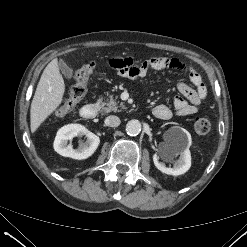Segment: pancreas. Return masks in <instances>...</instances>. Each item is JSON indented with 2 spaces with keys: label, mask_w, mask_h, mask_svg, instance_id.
<instances>
[{
  "label": "pancreas",
  "mask_w": 247,
  "mask_h": 247,
  "mask_svg": "<svg viewBox=\"0 0 247 247\" xmlns=\"http://www.w3.org/2000/svg\"><path fill=\"white\" fill-rule=\"evenodd\" d=\"M117 96L114 98L112 95L109 96V98L106 100V102L102 103L101 108L104 113H109V112H120L122 110H125L126 107L121 102L119 104V101H117Z\"/></svg>",
  "instance_id": "cf45deb5"
}]
</instances>
